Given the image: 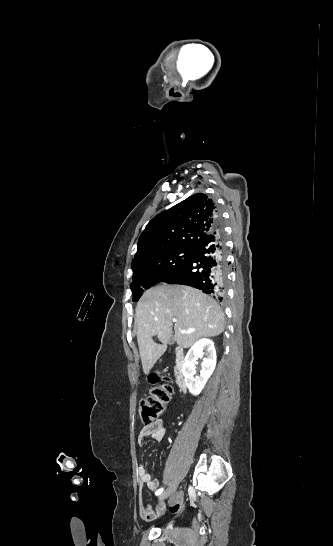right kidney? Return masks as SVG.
<instances>
[{"mask_svg":"<svg viewBox=\"0 0 333 546\" xmlns=\"http://www.w3.org/2000/svg\"><path fill=\"white\" fill-rule=\"evenodd\" d=\"M206 353V358L202 362V373L200 377L194 379L196 373L195 360ZM216 366V350L214 343L209 339H201L197 341L188 351L185 357V362L182 366V374L185 378V384L189 392L193 395H198L204 388L207 380L213 373Z\"/></svg>","mask_w":333,"mask_h":546,"instance_id":"ca27d5eb","label":"right kidney"}]
</instances>
